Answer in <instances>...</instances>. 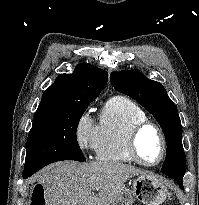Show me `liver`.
<instances>
[{
	"label": "liver",
	"mask_w": 199,
	"mask_h": 205,
	"mask_svg": "<svg viewBox=\"0 0 199 205\" xmlns=\"http://www.w3.org/2000/svg\"><path fill=\"white\" fill-rule=\"evenodd\" d=\"M142 174L122 163L64 161L47 166L34 180L43 186L46 205H111L124 183Z\"/></svg>",
	"instance_id": "6515ba94"
}]
</instances>
